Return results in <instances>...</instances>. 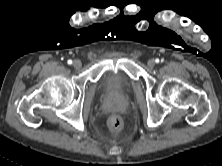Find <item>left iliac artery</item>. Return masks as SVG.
Segmentation results:
<instances>
[{
  "label": "left iliac artery",
  "mask_w": 222,
  "mask_h": 166,
  "mask_svg": "<svg viewBox=\"0 0 222 166\" xmlns=\"http://www.w3.org/2000/svg\"><path fill=\"white\" fill-rule=\"evenodd\" d=\"M156 62L158 63V62H159V60L157 59V60H156Z\"/></svg>",
  "instance_id": "44dca946"
}]
</instances>
